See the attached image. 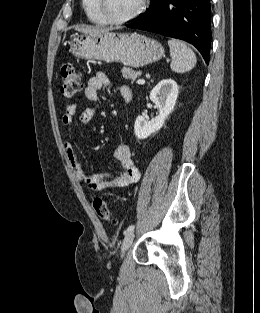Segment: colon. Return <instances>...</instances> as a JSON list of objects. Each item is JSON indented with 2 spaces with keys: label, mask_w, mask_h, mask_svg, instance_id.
Listing matches in <instances>:
<instances>
[{
  "label": "colon",
  "mask_w": 260,
  "mask_h": 313,
  "mask_svg": "<svg viewBox=\"0 0 260 313\" xmlns=\"http://www.w3.org/2000/svg\"><path fill=\"white\" fill-rule=\"evenodd\" d=\"M83 88L82 79L72 64H65L61 68V94L70 99ZM93 208L96 214L105 221L111 220V211L107 202L97 197L93 200Z\"/></svg>",
  "instance_id": "1"
}]
</instances>
